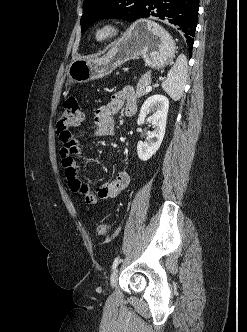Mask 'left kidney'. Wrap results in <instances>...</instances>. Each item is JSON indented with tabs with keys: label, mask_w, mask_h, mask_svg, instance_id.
<instances>
[{
	"label": "left kidney",
	"mask_w": 247,
	"mask_h": 332,
	"mask_svg": "<svg viewBox=\"0 0 247 332\" xmlns=\"http://www.w3.org/2000/svg\"><path fill=\"white\" fill-rule=\"evenodd\" d=\"M168 109L169 100L159 94L150 96L142 105L137 124L142 125L148 112L152 111L153 115L148 118V122L152 123L154 128L152 132L147 133L145 142L139 141L137 144V154L142 161L149 160L161 146L165 135Z\"/></svg>",
	"instance_id": "obj_1"
}]
</instances>
